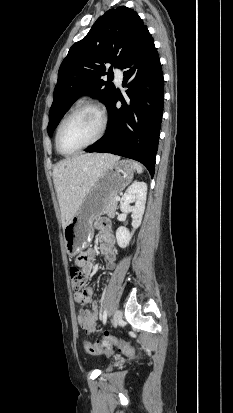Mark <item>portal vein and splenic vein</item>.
<instances>
[{"label":"portal vein and splenic vein","instance_id":"1","mask_svg":"<svg viewBox=\"0 0 233 413\" xmlns=\"http://www.w3.org/2000/svg\"><path fill=\"white\" fill-rule=\"evenodd\" d=\"M115 200H116V201H119V200H120V197H118V196L115 197Z\"/></svg>","mask_w":233,"mask_h":413}]
</instances>
